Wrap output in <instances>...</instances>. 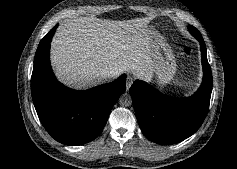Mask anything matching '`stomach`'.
<instances>
[{
	"label": "stomach",
	"mask_w": 237,
	"mask_h": 169,
	"mask_svg": "<svg viewBox=\"0 0 237 169\" xmlns=\"http://www.w3.org/2000/svg\"><path fill=\"white\" fill-rule=\"evenodd\" d=\"M155 47L153 48V65L158 76H162L165 71L172 67L173 56L170 45L166 42L164 36L158 33L154 40Z\"/></svg>",
	"instance_id": "obj_1"
}]
</instances>
